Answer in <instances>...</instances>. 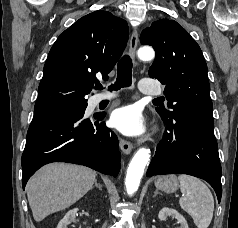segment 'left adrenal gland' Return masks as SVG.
<instances>
[{
	"label": "left adrenal gland",
	"mask_w": 238,
	"mask_h": 228,
	"mask_svg": "<svg viewBox=\"0 0 238 228\" xmlns=\"http://www.w3.org/2000/svg\"><path fill=\"white\" fill-rule=\"evenodd\" d=\"M157 194H159V191H158V190H155L153 197H155Z\"/></svg>",
	"instance_id": "obj_1"
}]
</instances>
